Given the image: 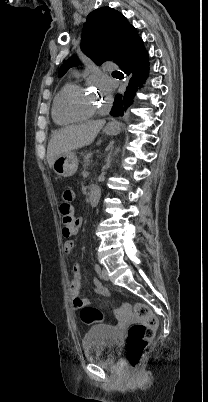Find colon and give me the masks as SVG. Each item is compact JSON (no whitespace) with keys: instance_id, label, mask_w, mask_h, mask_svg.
I'll return each instance as SVG.
<instances>
[{"instance_id":"colon-1","label":"colon","mask_w":208,"mask_h":402,"mask_svg":"<svg viewBox=\"0 0 208 402\" xmlns=\"http://www.w3.org/2000/svg\"><path fill=\"white\" fill-rule=\"evenodd\" d=\"M74 191L65 189L61 194V202L59 210L61 214L62 233L65 237L73 235L75 224L78 222L74 215ZM73 305L78 307V313L81 320L88 325L102 322L104 314L94 306L84 305L81 298L77 297L73 301ZM77 310V309H76ZM136 315L142 319L140 324H127V344H128V362L131 365L138 364L144 356L148 346L149 339L152 338L155 328L159 327V318H149L150 311L146 307L135 305ZM137 370V367H134Z\"/></svg>"}]
</instances>
